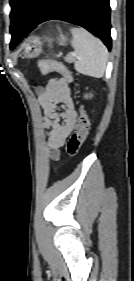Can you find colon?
<instances>
[{"instance_id":"5ec220e1","label":"colon","mask_w":134,"mask_h":281,"mask_svg":"<svg viewBox=\"0 0 134 281\" xmlns=\"http://www.w3.org/2000/svg\"><path fill=\"white\" fill-rule=\"evenodd\" d=\"M39 69L42 74H49L51 72L60 73L66 80L72 81V75L66 69V67L56 61L51 59L41 60L39 63ZM90 129V121L86 111L83 107L80 108V114L77 119L74 132L70 137V140L67 144V151L71 156L76 155L83 143L85 142Z\"/></svg>"}]
</instances>
